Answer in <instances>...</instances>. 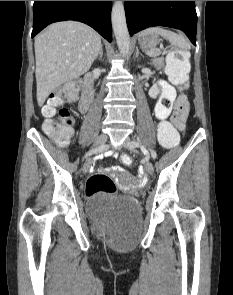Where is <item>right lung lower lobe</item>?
Returning a JSON list of instances; mask_svg holds the SVG:
<instances>
[{
    "label": "right lung lower lobe",
    "instance_id": "obj_1",
    "mask_svg": "<svg viewBox=\"0 0 233 295\" xmlns=\"http://www.w3.org/2000/svg\"><path fill=\"white\" fill-rule=\"evenodd\" d=\"M111 8L112 1H34L32 38L48 24L76 20L111 42Z\"/></svg>",
    "mask_w": 233,
    "mask_h": 295
}]
</instances>
